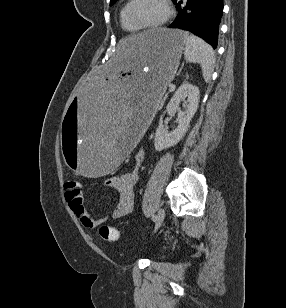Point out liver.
<instances>
[{"label": "liver", "instance_id": "1", "mask_svg": "<svg viewBox=\"0 0 286 308\" xmlns=\"http://www.w3.org/2000/svg\"><path fill=\"white\" fill-rule=\"evenodd\" d=\"M151 31H147V32H143L131 37H128L126 39H123L119 42L114 59L120 56H125L127 55L133 48L134 46L142 41L143 39H145L146 37H148V35L152 32Z\"/></svg>", "mask_w": 286, "mask_h": 308}]
</instances>
